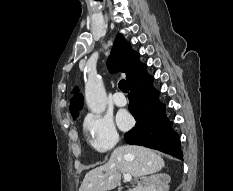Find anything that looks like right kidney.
<instances>
[{
  "instance_id": "ca27d5eb",
  "label": "right kidney",
  "mask_w": 233,
  "mask_h": 191,
  "mask_svg": "<svg viewBox=\"0 0 233 191\" xmlns=\"http://www.w3.org/2000/svg\"><path fill=\"white\" fill-rule=\"evenodd\" d=\"M171 181V177L168 174L161 173L156 174L150 177L149 183L145 191H168L169 190V182Z\"/></svg>"
}]
</instances>
